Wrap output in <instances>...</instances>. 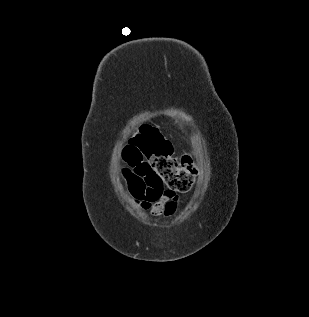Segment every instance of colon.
<instances>
[{
    "label": "colon",
    "instance_id": "5ec220e1",
    "mask_svg": "<svg viewBox=\"0 0 309 317\" xmlns=\"http://www.w3.org/2000/svg\"><path fill=\"white\" fill-rule=\"evenodd\" d=\"M125 158L131 164L141 160L148 162L159 182L173 192H187L198 173L191 155L175 158L172 144L158 129L149 125L141 126L133 136Z\"/></svg>",
    "mask_w": 309,
    "mask_h": 317
}]
</instances>
